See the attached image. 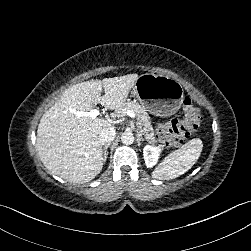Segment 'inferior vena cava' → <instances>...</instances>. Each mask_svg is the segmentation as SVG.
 I'll return each instance as SVG.
<instances>
[{
	"label": "inferior vena cava",
	"mask_w": 251,
	"mask_h": 251,
	"mask_svg": "<svg viewBox=\"0 0 251 251\" xmlns=\"http://www.w3.org/2000/svg\"><path fill=\"white\" fill-rule=\"evenodd\" d=\"M116 131L114 127L103 128L99 134V139L101 143H110L115 139Z\"/></svg>",
	"instance_id": "602c4592"
}]
</instances>
